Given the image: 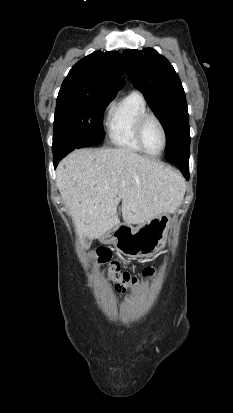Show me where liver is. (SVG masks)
Instances as JSON below:
<instances>
[{"mask_svg": "<svg viewBox=\"0 0 233 413\" xmlns=\"http://www.w3.org/2000/svg\"><path fill=\"white\" fill-rule=\"evenodd\" d=\"M57 186L80 239L100 238L119 225H141L173 212L185 186L181 176L161 162L127 148L75 150L57 167Z\"/></svg>", "mask_w": 233, "mask_h": 413, "instance_id": "1", "label": "liver"}]
</instances>
